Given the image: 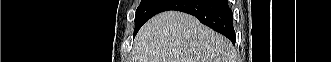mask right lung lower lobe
<instances>
[{"label": "right lung lower lobe", "mask_w": 331, "mask_h": 62, "mask_svg": "<svg viewBox=\"0 0 331 62\" xmlns=\"http://www.w3.org/2000/svg\"><path fill=\"white\" fill-rule=\"evenodd\" d=\"M167 10L191 14L235 43L233 14L227 0H173L161 12Z\"/></svg>", "instance_id": "98d812e1"}]
</instances>
